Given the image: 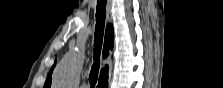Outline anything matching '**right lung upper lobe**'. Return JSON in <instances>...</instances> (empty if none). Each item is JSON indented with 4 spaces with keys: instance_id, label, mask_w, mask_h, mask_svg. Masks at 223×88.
<instances>
[{
    "instance_id": "right-lung-upper-lobe-1",
    "label": "right lung upper lobe",
    "mask_w": 223,
    "mask_h": 88,
    "mask_svg": "<svg viewBox=\"0 0 223 88\" xmlns=\"http://www.w3.org/2000/svg\"><path fill=\"white\" fill-rule=\"evenodd\" d=\"M113 40H114V31L112 25H108L105 33V42H104V48H103V57H106L108 55V49L113 48ZM54 66L51 68L50 73L47 77V80L45 82L44 88H50L51 87V74L53 71ZM108 73V66H106L102 72L100 78L107 77Z\"/></svg>"
}]
</instances>
